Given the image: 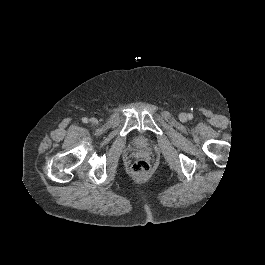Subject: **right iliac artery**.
Here are the masks:
<instances>
[{"instance_id": "obj_1", "label": "right iliac artery", "mask_w": 265, "mask_h": 265, "mask_svg": "<svg viewBox=\"0 0 265 265\" xmlns=\"http://www.w3.org/2000/svg\"><path fill=\"white\" fill-rule=\"evenodd\" d=\"M82 122H83V123H88V118L84 117V118L82 119Z\"/></svg>"}]
</instances>
